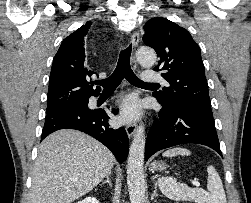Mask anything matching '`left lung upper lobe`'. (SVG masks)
<instances>
[{
  "label": "left lung upper lobe",
  "instance_id": "5c2ea615",
  "mask_svg": "<svg viewBox=\"0 0 251 203\" xmlns=\"http://www.w3.org/2000/svg\"><path fill=\"white\" fill-rule=\"evenodd\" d=\"M143 28L145 45L160 59L154 70L170 84L153 96L167 109L191 104L212 113L200 48L190 33L166 18L150 19Z\"/></svg>",
  "mask_w": 251,
  "mask_h": 203
}]
</instances>
